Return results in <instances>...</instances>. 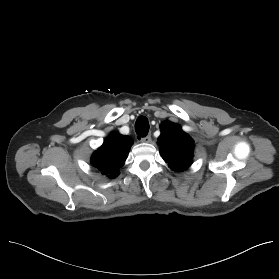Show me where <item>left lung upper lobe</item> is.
<instances>
[{"instance_id":"obj_1","label":"left lung upper lobe","mask_w":279,"mask_h":279,"mask_svg":"<svg viewBox=\"0 0 279 279\" xmlns=\"http://www.w3.org/2000/svg\"><path fill=\"white\" fill-rule=\"evenodd\" d=\"M194 141L175 123L161 124L158 138L160 153L166 163L175 171H184L192 164Z\"/></svg>"}]
</instances>
